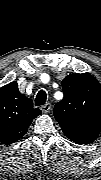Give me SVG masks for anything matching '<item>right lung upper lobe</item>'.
Masks as SVG:
<instances>
[{"mask_svg": "<svg viewBox=\"0 0 101 180\" xmlns=\"http://www.w3.org/2000/svg\"><path fill=\"white\" fill-rule=\"evenodd\" d=\"M41 114L31 99L21 94L13 81L0 89V141L12 144L26 134L34 118Z\"/></svg>", "mask_w": 101, "mask_h": 180, "instance_id": "1", "label": "right lung upper lobe"}]
</instances>
